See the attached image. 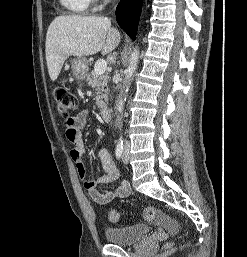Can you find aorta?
<instances>
[{
    "instance_id": "1",
    "label": "aorta",
    "mask_w": 247,
    "mask_h": 257,
    "mask_svg": "<svg viewBox=\"0 0 247 257\" xmlns=\"http://www.w3.org/2000/svg\"><path fill=\"white\" fill-rule=\"evenodd\" d=\"M138 61H139V49H138V47H135L131 54V57H130L129 66L126 70V76H125L124 87H123L124 93L121 94V96L119 97V99L116 103V111L120 115V118L118 121L120 127L122 126V123L120 124V120L122 118L123 109H124V101H125V99H123L122 96L125 93H127L129 90V86L131 85V81L133 80L134 73L137 69Z\"/></svg>"
}]
</instances>
